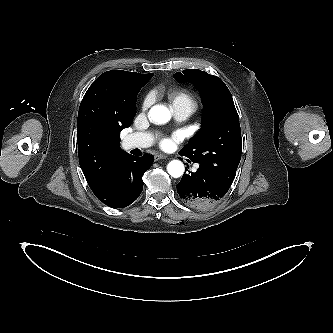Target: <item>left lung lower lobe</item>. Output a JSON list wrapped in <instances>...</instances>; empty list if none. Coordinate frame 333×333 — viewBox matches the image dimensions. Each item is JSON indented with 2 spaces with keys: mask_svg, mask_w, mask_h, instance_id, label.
<instances>
[{
  "mask_svg": "<svg viewBox=\"0 0 333 333\" xmlns=\"http://www.w3.org/2000/svg\"><path fill=\"white\" fill-rule=\"evenodd\" d=\"M176 187L181 200L199 210L212 208L230 188L202 167L195 173L184 174Z\"/></svg>",
  "mask_w": 333,
  "mask_h": 333,
  "instance_id": "1",
  "label": "left lung lower lobe"
}]
</instances>
